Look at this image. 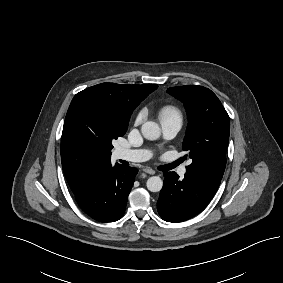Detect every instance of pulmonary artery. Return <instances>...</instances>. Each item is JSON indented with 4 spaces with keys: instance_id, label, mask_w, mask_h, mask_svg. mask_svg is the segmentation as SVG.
Masks as SVG:
<instances>
[{
    "instance_id": "pulmonary-artery-1",
    "label": "pulmonary artery",
    "mask_w": 283,
    "mask_h": 283,
    "mask_svg": "<svg viewBox=\"0 0 283 283\" xmlns=\"http://www.w3.org/2000/svg\"><path fill=\"white\" fill-rule=\"evenodd\" d=\"M162 132L165 139L169 140L176 136L181 128V123L177 121H164L161 123ZM151 152L145 149H128L124 147H118L115 150L114 156L119 160H126L132 162H140L148 160L151 157ZM178 174L183 176L186 172L185 166L178 169Z\"/></svg>"
}]
</instances>
